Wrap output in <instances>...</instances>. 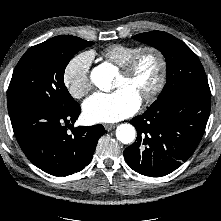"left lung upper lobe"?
<instances>
[{
	"instance_id": "left-lung-upper-lobe-1",
	"label": "left lung upper lobe",
	"mask_w": 221,
	"mask_h": 221,
	"mask_svg": "<svg viewBox=\"0 0 221 221\" xmlns=\"http://www.w3.org/2000/svg\"><path fill=\"white\" fill-rule=\"evenodd\" d=\"M135 40L152 45L166 59L167 83L158 99L148 108H157L168 96L187 91L211 95L208 80L197 55L182 41L163 31L137 34Z\"/></svg>"
}]
</instances>
